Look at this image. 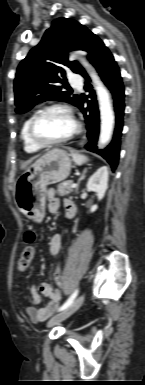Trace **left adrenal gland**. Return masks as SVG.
Listing matches in <instances>:
<instances>
[{"label": "left adrenal gland", "mask_w": 145, "mask_h": 385, "mask_svg": "<svg viewBox=\"0 0 145 385\" xmlns=\"http://www.w3.org/2000/svg\"><path fill=\"white\" fill-rule=\"evenodd\" d=\"M86 172H87V168L84 169V171H83V173H82V175H81V177H80V179H79V181H78V184L80 183L81 180H83V179L85 178Z\"/></svg>", "instance_id": "obj_1"}]
</instances>
